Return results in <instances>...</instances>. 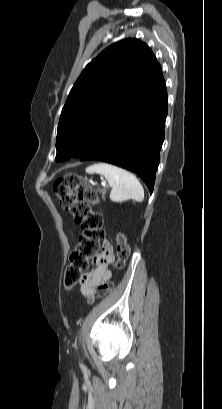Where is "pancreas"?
<instances>
[{"mask_svg": "<svg viewBox=\"0 0 222 409\" xmlns=\"http://www.w3.org/2000/svg\"><path fill=\"white\" fill-rule=\"evenodd\" d=\"M100 192L102 193V198L104 199L105 197H104V194L106 193V190L105 189H102V190H100Z\"/></svg>", "mask_w": 222, "mask_h": 409, "instance_id": "cf45deb5", "label": "pancreas"}]
</instances>
